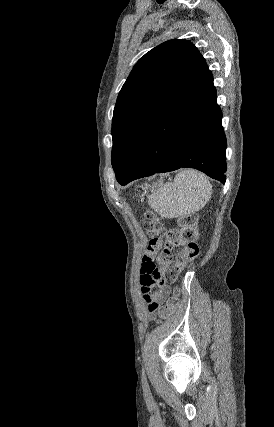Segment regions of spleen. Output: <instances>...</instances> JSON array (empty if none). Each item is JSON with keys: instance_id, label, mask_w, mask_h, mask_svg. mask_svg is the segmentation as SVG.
<instances>
[{"instance_id": "3e777b00", "label": "spleen", "mask_w": 274, "mask_h": 427, "mask_svg": "<svg viewBox=\"0 0 274 427\" xmlns=\"http://www.w3.org/2000/svg\"><path fill=\"white\" fill-rule=\"evenodd\" d=\"M158 190L148 196V204L161 217H184L195 214L211 198V184L205 174L196 170H182L174 182H160Z\"/></svg>"}]
</instances>
